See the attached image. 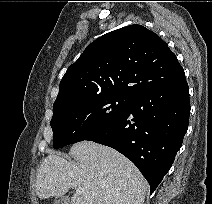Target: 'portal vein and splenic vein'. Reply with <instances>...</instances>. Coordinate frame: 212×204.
I'll return each mask as SVG.
<instances>
[{
	"mask_svg": "<svg viewBox=\"0 0 212 204\" xmlns=\"http://www.w3.org/2000/svg\"><path fill=\"white\" fill-rule=\"evenodd\" d=\"M83 192H84V189L81 188V187H79V188L76 189V193H78V194H81Z\"/></svg>",
	"mask_w": 212,
	"mask_h": 204,
	"instance_id": "portal-vein-and-splenic-vein-1",
	"label": "portal vein and splenic vein"
}]
</instances>
